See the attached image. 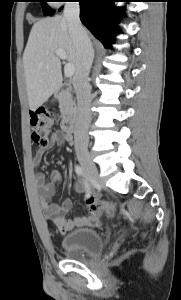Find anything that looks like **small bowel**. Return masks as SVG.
<instances>
[{
  "label": "small bowel",
  "instance_id": "small-bowel-1",
  "mask_svg": "<svg viewBox=\"0 0 181 300\" xmlns=\"http://www.w3.org/2000/svg\"><path fill=\"white\" fill-rule=\"evenodd\" d=\"M64 142L71 143L72 136L62 130L54 132L48 146L46 148L39 149L36 152L34 156L35 164L39 165L42 162L43 156L47 150ZM35 180L40 189L42 209L47 219L53 222L61 234H65L76 227L96 226L99 224L101 219L91 215L79 216L71 220L67 219L66 214L71 210L73 205L71 199H65L61 204H55L51 201L52 197L56 193V186L62 181V174L59 170H51L49 179H47L45 173L39 172L36 174ZM75 190L77 192L84 191V185L81 181L76 182ZM89 199H95V196L90 193H86L85 200L88 201Z\"/></svg>",
  "mask_w": 181,
  "mask_h": 300
}]
</instances>
